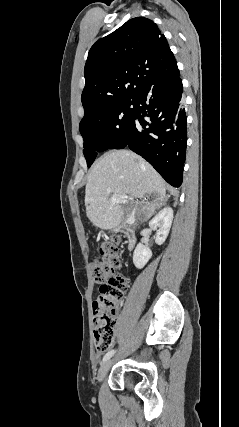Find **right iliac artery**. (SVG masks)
Returning a JSON list of instances; mask_svg holds the SVG:
<instances>
[{"instance_id": "1", "label": "right iliac artery", "mask_w": 239, "mask_h": 427, "mask_svg": "<svg viewBox=\"0 0 239 427\" xmlns=\"http://www.w3.org/2000/svg\"><path fill=\"white\" fill-rule=\"evenodd\" d=\"M115 353V350H111L108 353L105 354V356L103 357V361H107L108 359H110Z\"/></svg>"}]
</instances>
